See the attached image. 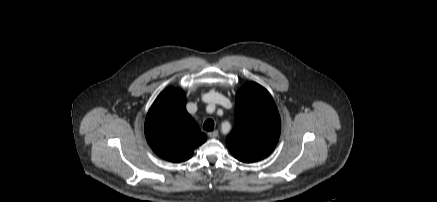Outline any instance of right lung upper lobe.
Listing matches in <instances>:
<instances>
[{"label": "right lung upper lobe", "instance_id": "right-lung-upper-lobe-1", "mask_svg": "<svg viewBox=\"0 0 437 202\" xmlns=\"http://www.w3.org/2000/svg\"><path fill=\"white\" fill-rule=\"evenodd\" d=\"M145 136L159 157L174 163L191 158L194 149L206 141L186 111L184 91L173 87L161 92L149 109Z\"/></svg>", "mask_w": 437, "mask_h": 202}]
</instances>
